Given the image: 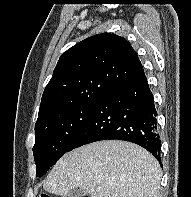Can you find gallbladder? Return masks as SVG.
<instances>
[{"instance_id":"1","label":"gallbladder","mask_w":191,"mask_h":197,"mask_svg":"<svg viewBox=\"0 0 191 197\" xmlns=\"http://www.w3.org/2000/svg\"><path fill=\"white\" fill-rule=\"evenodd\" d=\"M86 193L81 189L75 188L69 191L66 197H85Z\"/></svg>"}]
</instances>
